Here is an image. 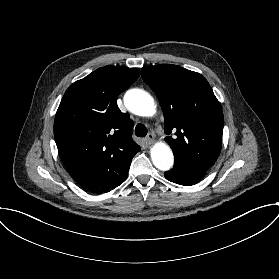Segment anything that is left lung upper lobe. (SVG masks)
Segmentation results:
<instances>
[{
    "label": "left lung upper lobe",
    "instance_id": "left-lung-upper-lobe-1",
    "mask_svg": "<svg viewBox=\"0 0 279 279\" xmlns=\"http://www.w3.org/2000/svg\"><path fill=\"white\" fill-rule=\"evenodd\" d=\"M144 81L154 90L165 118V140L175 163L207 172L221 151L224 117L221 105L207 80L177 65L142 68Z\"/></svg>",
    "mask_w": 279,
    "mask_h": 279
}]
</instances>
